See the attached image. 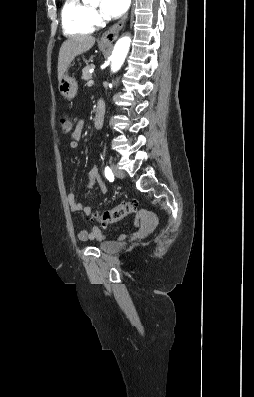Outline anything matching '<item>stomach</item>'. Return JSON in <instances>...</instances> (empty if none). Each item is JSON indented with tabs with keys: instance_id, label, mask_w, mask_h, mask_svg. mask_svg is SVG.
<instances>
[{
	"instance_id": "0dacf381",
	"label": "stomach",
	"mask_w": 254,
	"mask_h": 397,
	"mask_svg": "<svg viewBox=\"0 0 254 397\" xmlns=\"http://www.w3.org/2000/svg\"><path fill=\"white\" fill-rule=\"evenodd\" d=\"M110 43H101V47H108ZM58 89L60 94L66 99H73L78 90L77 81L71 77L68 73H64L62 78L59 80Z\"/></svg>"
}]
</instances>
